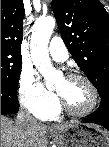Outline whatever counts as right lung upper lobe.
<instances>
[{"label":"right lung upper lobe","instance_id":"right-lung-upper-lobe-1","mask_svg":"<svg viewBox=\"0 0 109 147\" xmlns=\"http://www.w3.org/2000/svg\"><path fill=\"white\" fill-rule=\"evenodd\" d=\"M24 15L23 0H1V49L21 54Z\"/></svg>","mask_w":109,"mask_h":147}]
</instances>
